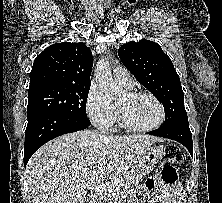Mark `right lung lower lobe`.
Segmentation results:
<instances>
[{
    "label": "right lung lower lobe",
    "instance_id": "98d812e1",
    "mask_svg": "<svg viewBox=\"0 0 222 203\" xmlns=\"http://www.w3.org/2000/svg\"><path fill=\"white\" fill-rule=\"evenodd\" d=\"M90 125L87 117L43 113L28 118L25 131L24 166L33 153L46 142L66 133L83 130Z\"/></svg>",
    "mask_w": 222,
    "mask_h": 203
}]
</instances>
